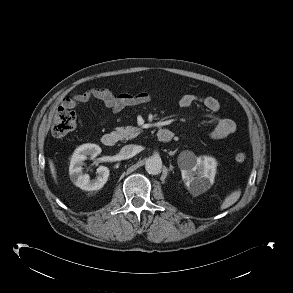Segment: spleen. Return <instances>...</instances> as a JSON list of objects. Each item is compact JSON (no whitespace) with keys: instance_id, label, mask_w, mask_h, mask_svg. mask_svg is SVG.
Wrapping results in <instances>:
<instances>
[{"instance_id":"3e777b00","label":"spleen","mask_w":293,"mask_h":293,"mask_svg":"<svg viewBox=\"0 0 293 293\" xmlns=\"http://www.w3.org/2000/svg\"><path fill=\"white\" fill-rule=\"evenodd\" d=\"M241 195V191H234L229 196H227L224 200V202L221 205V209H226L230 206H232L237 200L239 199Z\"/></svg>"}]
</instances>
